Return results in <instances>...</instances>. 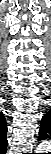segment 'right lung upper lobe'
<instances>
[{
	"mask_svg": "<svg viewBox=\"0 0 51 154\" xmlns=\"http://www.w3.org/2000/svg\"><path fill=\"white\" fill-rule=\"evenodd\" d=\"M2 118H3V127H4V130L6 131V122H5V118H4V116H2Z\"/></svg>",
	"mask_w": 51,
	"mask_h": 154,
	"instance_id": "right-lung-upper-lobe-1",
	"label": "right lung upper lobe"
}]
</instances>
